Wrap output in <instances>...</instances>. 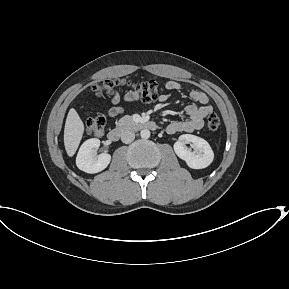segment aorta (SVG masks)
<instances>
[{"mask_svg":"<svg viewBox=\"0 0 289 289\" xmlns=\"http://www.w3.org/2000/svg\"><path fill=\"white\" fill-rule=\"evenodd\" d=\"M140 136L144 139H148L150 137V131L148 129H143L140 132Z\"/></svg>","mask_w":289,"mask_h":289,"instance_id":"762f6f07","label":"aorta"}]
</instances>
